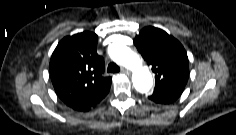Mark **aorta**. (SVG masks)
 Returning a JSON list of instances; mask_svg holds the SVG:
<instances>
[{"instance_id": "762f6f07", "label": "aorta", "mask_w": 236, "mask_h": 135, "mask_svg": "<svg viewBox=\"0 0 236 135\" xmlns=\"http://www.w3.org/2000/svg\"><path fill=\"white\" fill-rule=\"evenodd\" d=\"M109 55L117 64H120L132 71L133 86L138 92H149L153 85L152 75L139 55L125 45L111 47Z\"/></svg>"}]
</instances>
